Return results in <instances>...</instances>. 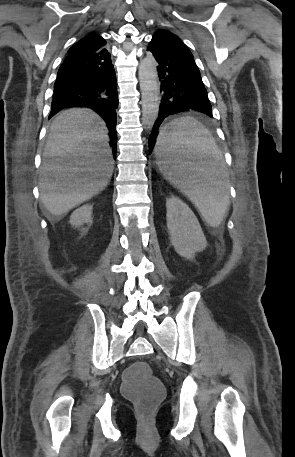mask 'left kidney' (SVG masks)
<instances>
[{
	"label": "left kidney",
	"mask_w": 295,
	"mask_h": 457,
	"mask_svg": "<svg viewBox=\"0 0 295 457\" xmlns=\"http://www.w3.org/2000/svg\"><path fill=\"white\" fill-rule=\"evenodd\" d=\"M167 228L175 251L186 259H193L196 252L203 251L207 241L198 219L192 210L179 198L166 200Z\"/></svg>",
	"instance_id": "1"
}]
</instances>
